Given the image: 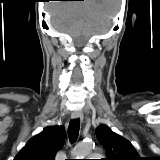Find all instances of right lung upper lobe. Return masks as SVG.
Returning a JSON list of instances; mask_svg holds the SVG:
<instances>
[{"label":"right lung upper lobe","mask_w":160,"mask_h":160,"mask_svg":"<svg viewBox=\"0 0 160 160\" xmlns=\"http://www.w3.org/2000/svg\"><path fill=\"white\" fill-rule=\"evenodd\" d=\"M64 140L65 130L62 126L45 127L27 142L14 160H54Z\"/></svg>","instance_id":"right-lung-upper-lobe-1"}]
</instances>
